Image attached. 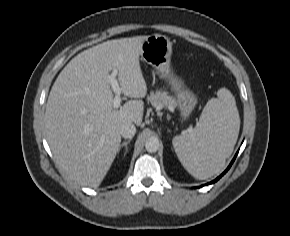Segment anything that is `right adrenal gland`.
<instances>
[{
    "label": "right adrenal gland",
    "mask_w": 290,
    "mask_h": 236,
    "mask_svg": "<svg viewBox=\"0 0 290 236\" xmlns=\"http://www.w3.org/2000/svg\"><path fill=\"white\" fill-rule=\"evenodd\" d=\"M132 139H128L127 141H124L120 147H119V150L118 152L120 151L121 148L125 147V152H124V156L127 154L128 152V144L131 142Z\"/></svg>",
    "instance_id": "1"
}]
</instances>
